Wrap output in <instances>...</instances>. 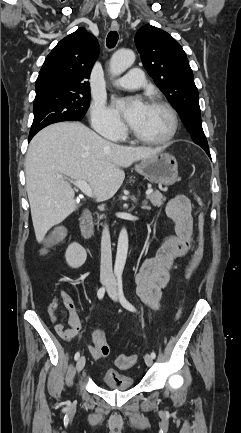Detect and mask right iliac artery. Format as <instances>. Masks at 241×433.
Returning <instances> with one entry per match:
<instances>
[{
    "instance_id": "1",
    "label": "right iliac artery",
    "mask_w": 241,
    "mask_h": 433,
    "mask_svg": "<svg viewBox=\"0 0 241 433\" xmlns=\"http://www.w3.org/2000/svg\"><path fill=\"white\" fill-rule=\"evenodd\" d=\"M104 294H105V287H101L97 292V296L99 299H102L104 297ZM79 357H80V353L76 352L74 359L78 360Z\"/></svg>"
}]
</instances>
